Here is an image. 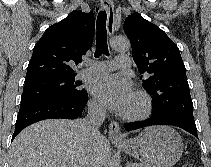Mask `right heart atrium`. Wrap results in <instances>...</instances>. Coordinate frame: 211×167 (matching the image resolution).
Here are the masks:
<instances>
[{
  "instance_id": "1",
  "label": "right heart atrium",
  "mask_w": 211,
  "mask_h": 167,
  "mask_svg": "<svg viewBox=\"0 0 211 167\" xmlns=\"http://www.w3.org/2000/svg\"><path fill=\"white\" fill-rule=\"evenodd\" d=\"M92 107L96 110V111H101V107L98 103L93 102L92 103Z\"/></svg>"
}]
</instances>
